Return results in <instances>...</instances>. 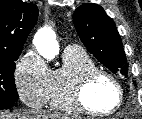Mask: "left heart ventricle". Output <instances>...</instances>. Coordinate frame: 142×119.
<instances>
[{"label":"left heart ventricle","mask_w":142,"mask_h":119,"mask_svg":"<svg viewBox=\"0 0 142 119\" xmlns=\"http://www.w3.org/2000/svg\"><path fill=\"white\" fill-rule=\"evenodd\" d=\"M118 94L115 87L105 78L96 80L88 89L86 101L98 111H107L117 102Z\"/></svg>","instance_id":"left-heart-ventricle-1"}]
</instances>
